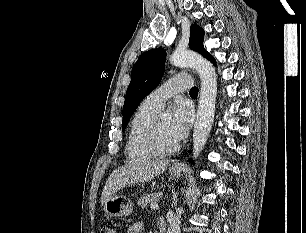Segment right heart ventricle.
<instances>
[{
  "label": "right heart ventricle",
  "instance_id": "right-heart-ventricle-1",
  "mask_svg": "<svg viewBox=\"0 0 306 233\" xmlns=\"http://www.w3.org/2000/svg\"><path fill=\"white\" fill-rule=\"evenodd\" d=\"M158 112L143 101L132 116L125 146V154L130 162L146 161L156 156L146 144L145 137L150 122Z\"/></svg>",
  "mask_w": 306,
  "mask_h": 233
}]
</instances>
